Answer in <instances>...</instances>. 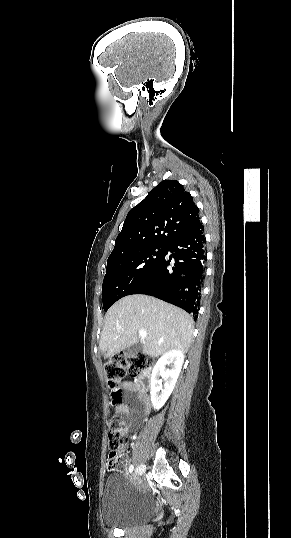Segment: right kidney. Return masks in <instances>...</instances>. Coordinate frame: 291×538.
<instances>
[{
    "mask_svg": "<svg viewBox=\"0 0 291 538\" xmlns=\"http://www.w3.org/2000/svg\"><path fill=\"white\" fill-rule=\"evenodd\" d=\"M183 362L184 354L177 349L169 350L158 359L153 368L150 382L151 402L155 410L161 409L172 393ZM169 364H171V369L166 368ZM162 379L165 380L164 388Z\"/></svg>",
    "mask_w": 291,
    "mask_h": 538,
    "instance_id": "right-kidney-1",
    "label": "right kidney"
}]
</instances>
